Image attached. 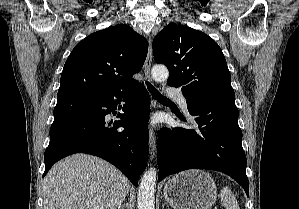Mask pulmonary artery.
I'll use <instances>...</instances> for the list:
<instances>
[{
  "label": "pulmonary artery",
  "instance_id": "obj_1",
  "mask_svg": "<svg viewBox=\"0 0 299 209\" xmlns=\"http://www.w3.org/2000/svg\"><path fill=\"white\" fill-rule=\"evenodd\" d=\"M167 93L170 97L174 98L180 105V107L184 110L187 111V101L186 98L184 97L183 93L179 89L175 88H168Z\"/></svg>",
  "mask_w": 299,
  "mask_h": 209
}]
</instances>
